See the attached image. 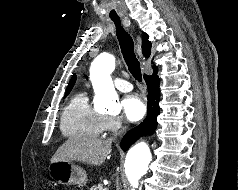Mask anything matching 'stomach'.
Segmentation results:
<instances>
[{
    "mask_svg": "<svg viewBox=\"0 0 238 190\" xmlns=\"http://www.w3.org/2000/svg\"><path fill=\"white\" fill-rule=\"evenodd\" d=\"M49 173L53 180L63 185L83 187L88 181L85 170L72 162H53L49 166Z\"/></svg>",
    "mask_w": 238,
    "mask_h": 190,
    "instance_id": "stomach-1",
    "label": "stomach"
}]
</instances>
